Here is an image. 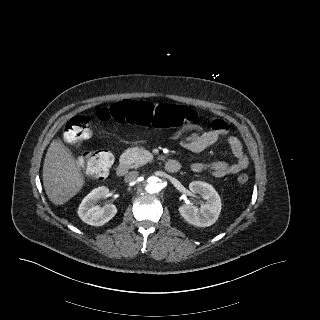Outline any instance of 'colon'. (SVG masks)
<instances>
[{
    "mask_svg": "<svg viewBox=\"0 0 320 320\" xmlns=\"http://www.w3.org/2000/svg\"><path fill=\"white\" fill-rule=\"evenodd\" d=\"M97 118L101 121L169 128L194 123L197 119V114L176 104L163 103L155 105L147 101L128 99L99 108ZM90 135V121L82 115L72 117L64 127V139L70 144L87 140ZM113 161V155L107 150L86 153L80 158L83 170L88 175L100 179L108 175ZM248 180L249 176L245 173L240 174L237 178V181L241 184L248 182Z\"/></svg>",
    "mask_w": 320,
    "mask_h": 320,
    "instance_id": "colon-1",
    "label": "colon"
}]
</instances>
